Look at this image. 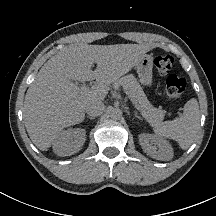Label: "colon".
<instances>
[{
	"label": "colon",
	"instance_id": "colon-1",
	"mask_svg": "<svg viewBox=\"0 0 216 216\" xmlns=\"http://www.w3.org/2000/svg\"><path fill=\"white\" fill-rule=\"evenodd\" d=\"M154 64L159 74L165 77L168 96L174 101L180 100L186 91V81L172 73L174 59L169 55H158Z\"/></svg>",
	"mask_w": 216,
	"mask_h": 216
}]
</instances>
